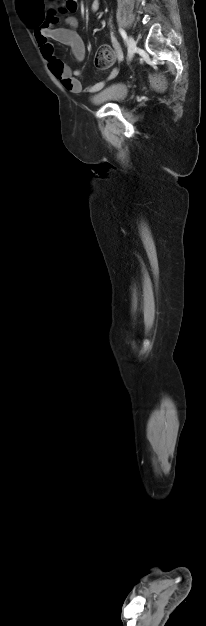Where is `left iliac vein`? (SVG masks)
<instances>
[{"label":"left iliac vein","instance_id":"left-iliac-vein-1","mask_svg":"<svg viewBox=\"0 0 206 626\" xmlns=\"http://www.w3.org/2000/svg\"><path fill=\"white\" fill-rule=\"evenodd\" d=\"M127 45H128V58L131 59L134 56L136 49H137L136 42L133 37L129 36L127 38Z\"/></svg>","mask_w":206,"mask_h":626}]
</instances>
